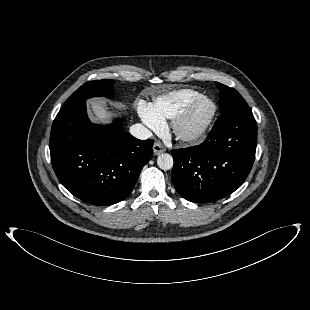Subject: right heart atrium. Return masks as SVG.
<instances>
[{"mask_svg": "<svg viewBox=\"0 0 310 310\" xmlns=\"http://www.w3.org/2000/svg\"><path fill=\"white\" fill-rule=\"evenodd\" d=\"M140 116L143 122L154 132H161L165 127V122L161 120L150 109V105L143 104L140 108Z\"/></svg>", "mask_w": 310, "mask_h": 310, "instance_id": "right-heart-atrium-1", "label": "right heart atrium"}]
</instances>
